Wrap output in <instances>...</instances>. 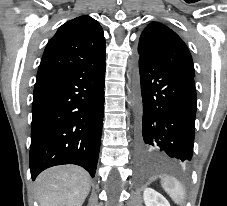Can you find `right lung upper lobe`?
Masks as SVG:
<instances>
[{"mask_svg":"<svg viewBox=\"0 0 227 206\" xmlns=\"http://www.w3.org/2000/svg\"><path fill=\"white\" fill-rule=\"evenodd\" d=\"M105 38L100 24L84 15L63 24L48 42L37 80L98 64L105 60Z\"/></svg>","mask_w":227,"mask_h":206,"instance_id":"cb5924a9","label":"right lung upper lobe"}]
</instances>
